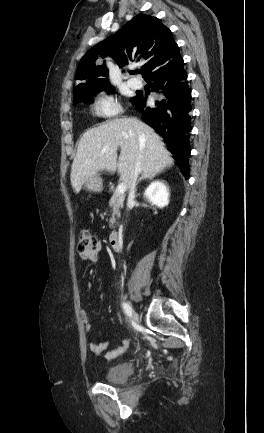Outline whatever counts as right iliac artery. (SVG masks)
I'll return each mask as SVG.
<instances>
[{
    "label": "right iliac artery",
    "instance_id": "obj_1",
    "mask_svg": "<svg viewBox=\"0 0 264 433\" xmlns=\"http://www.w3.org/2000/svg\"><path fill=\"white\" fill-rule=\"evenodd\" d=\"M122 307H123L124 312H125L129 317H131V316H132V311H131L130 306H129L127 303L123 302V303H122Z\"/></svg>",
    "mask_w": 264,
    "mask_h": 433
}]
</instances>
